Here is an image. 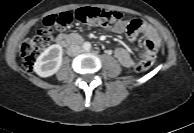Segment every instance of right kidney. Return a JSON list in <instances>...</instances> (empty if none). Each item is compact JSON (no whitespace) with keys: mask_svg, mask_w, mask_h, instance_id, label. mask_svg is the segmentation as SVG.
Masks as SVG:
<instances>
[{"mask_svg":"<svg viewBox=\"0 0 194 133\" xmlns=\"http://www.w3.org/2000/svg\"><path fill=\"white\" fill-rule=\"evenodd\" d=\"M63 49L60 45L54 44L40 54L34 63V71L40 77H50L55 74L62 65Z\"/></svg>","mask_w":194,"mask_h":133,"instance_id":"ca27d5eb","label":"right kidney"}]
</instances>
